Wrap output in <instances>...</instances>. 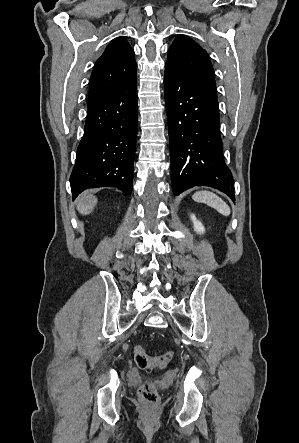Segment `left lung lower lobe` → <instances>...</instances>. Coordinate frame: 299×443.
<instances>
[{"label":"left lung lower lobe","mask_w":299,"mask_h":443,"mask_svg":"<svg viewBox=\"0 0 299 443\" xmlns=\"http://www.w3.org/2000/svg\"><path fill=\"white\" fill-rule=\"evenodd\" d=\"M164 92L174 194L203 185L235 201L232 174L223 159L217 97L168 65Z\"/></svg>","instance_id":"obj_1"}]
</instances>
